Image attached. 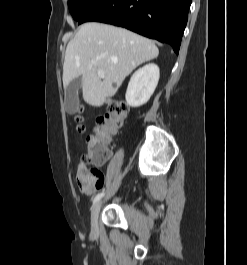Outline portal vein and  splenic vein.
Returning <instances> with one entry per match:
<instances>
[{
	"label": "portal vein and splenic vein",
	"mask_w": 247,
	"mask_h": 265,
	"mask_svg": "<svg viewBox=\"0 0 247 265\" xmlns=\"http://www.w3.org/2000/svg\"><path fill=\"white\" fill-rule=\"evenodd\" d=\"M92 63L95 64V61H92ZM98 75H99V77H101V78H105V75H104L103 71L100 70V69H98Z\"/></svg>",
	"instance_id": "1"
}]
</instances>
